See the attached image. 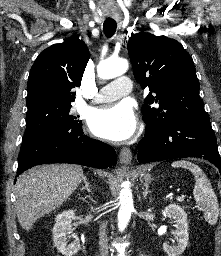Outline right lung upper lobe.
I'll list each match as a JSON object with an SVG mask.
<instances>
[{"mask_svg":"<svg viewBox=\"0 0 221 256\" xmlns=\"http://www.w3.org/2000/svg\"><path fill=\"white\" fill-rule=\"evenodd\" d=\"M89 60V50L78 38H69L43 50L34 62L27 83L28 110L38 106H67L75 100Z\"/></svg>","mask_w":221,"mask_h":256,"instance_id":"obj_1","label":"right lung upper lobe"}]
</instances>
